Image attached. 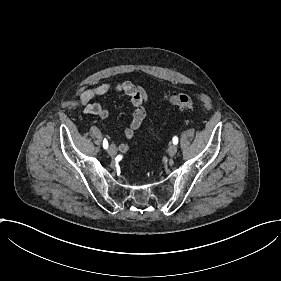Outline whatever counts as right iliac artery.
<instances>
[{"label":"right iliac artery","mask_w":281,"mask_h":281,"mask_svg":"<svg viewBox=\"0 0 281 281\" xmlns=\"http://www.w3.org/2000/svg\"><path fill=\"white\" fill-rule=\"evenodd\" d=\"M103 147L104 149L108 148V141L106 140V138L103 140Z\"/></svg>","instance_id":"1"}]
</instances>
